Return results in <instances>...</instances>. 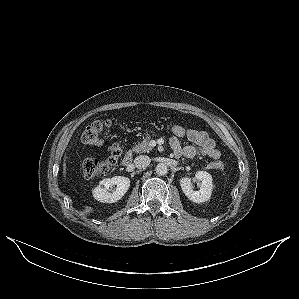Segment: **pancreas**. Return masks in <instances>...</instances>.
<instances>
[{"instance_id": "pancreas-1", "label": "pancreas", "mask_w": 299, "mask_h": 299, "mask_svg": "<svg viewBox=\"0 0 299 299\" xmlns=\"http://www.w3.org/2000/svg\"><path fill=\"white\" fill-rule=\"evenodd\" d=\"M152 150V147L149 144V137L144 138L143 141L139 142L138 144L134 145L131 151L135 153H145Z\"/></svg>"}]
</instances>
